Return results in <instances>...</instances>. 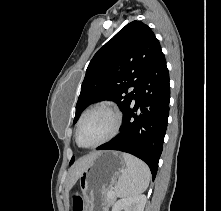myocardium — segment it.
I'll use <instances>...</instances> for the list:
<instances>
[{
  "mask_svg": "<svg viewBox=\"0 0 221 211\" xmlns=\"http://www.w3.org/2000/svg\"><path fill=\"white\" fill-rule=\"evenodd\" d=\"M96 110H105L112 115L113 120H114L112 130L105 138L98 141L97 143L92 144V145H82L79 141V132H80L81 125H82L85 117L88 114H90L91 112L96 111ZM121 123H122V116H121L120 112L115 107H113L112 105H110L108 103H97V104L91 106L90 108H88L80 117L77 127H76V133H75L76 142L82 148L99 147V146L111 141L118 134L119 129L121 127Z\"/></svg>",
  "mask_w": 221,
  "mask_h": 211,
  "instance_id": "myocardium-1",
  "label": "myocardium"
}]
</instances>
